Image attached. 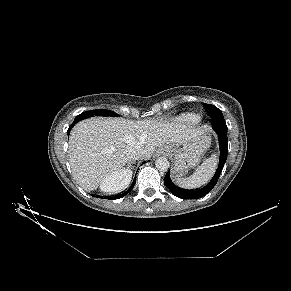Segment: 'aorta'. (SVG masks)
<instances>
[{"instance_id":"obj_1","label":"aorta","mask_w":291,"mask_h":291,"mask_svg":"<svg viewBox=\"0 0 291 291\" xmlns=\"http://www.w3.org/2000/svg\"><path fill=\"white\" fill-rule=\"evenodd\" d=\"M155 166L159 171H167L169 168V161L164 157H159L155 161Z\"/></svg>"}]
</instances>
